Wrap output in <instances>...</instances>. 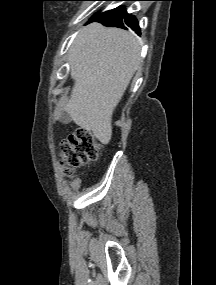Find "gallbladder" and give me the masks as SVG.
<instances>
[{"label":"gallbladder","instance_id":"gallbladder-1","mask_svg":"<svg viewBox=\"0 0 216 285\" xmlns=\"http://www.w3.org/2000/svg\"><path fill=\"white\" fill-rule=\"evenodd\" d=\"M60 121L65 124L71 122V117L65 110H62L60 113Z\"/></svg>","mask_w":216,"mask_h":285}]
</instances>
